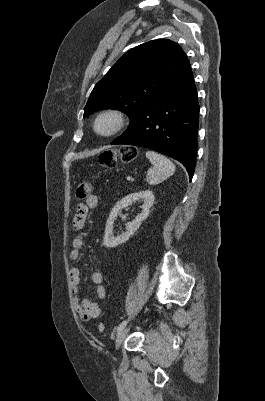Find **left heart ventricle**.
I'll return each mask as SVG.
<instances>
[{
    "label": "left heart ventricle",
    "mask_w": 265,
    "mask_h": 401,
    "mask_svg": "<svg viewBox=\"0 0 265 401\" xmlns=\"http://www.w3.org/2000/svg\"><path fill=\"white\" fill-rule=\"evenodd\" d=\"M112 128V121L110 119L104 118L98 124V129L102 133H107Z\"/></svg>",
    "instance_id": "left-heart-ventricle-1"
}]
</instances>
